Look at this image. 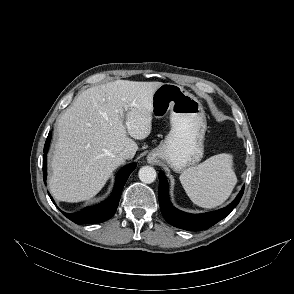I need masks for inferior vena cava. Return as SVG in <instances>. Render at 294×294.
Wrapping results in <instances>:
<instances>
[{"mask_svg":"<svg viewBox=\"0 0 294 294\" xmlns=\"http://www.w3.org/2000/svg\"><path fill=\"white\" fill-rule=\"evenodd\" d=\"M133 156L134 155L128 150H124L120 153V158L123 160L131 159Z\"/></svg>","mask_w":294,"mask_h":294,"instance_id":"602c4592","label":"inferior vena cava"}]
</instances>
